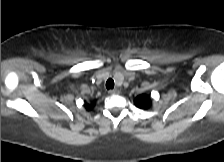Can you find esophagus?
I'll list each match as a JSON object with an SVG mask.
<instances>
[{
	"label": "esophagus",
	"mask_w": 224,
	"mask_h": 162,
	"mask_svg": "<svg viewBox=\"0 0 224 162\" xmlns=\"http://www.w3.org/2000/svg\"><path fill=\"white\" fill-rule=\"evenodd\" d=\"M108 93L110 95L118 94L119 93V90L118 89H111V90L108 91Z\"/></svg>",
	"instance_id": "34e87169"
}]
</instances>
